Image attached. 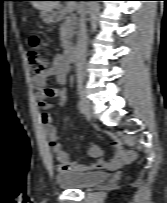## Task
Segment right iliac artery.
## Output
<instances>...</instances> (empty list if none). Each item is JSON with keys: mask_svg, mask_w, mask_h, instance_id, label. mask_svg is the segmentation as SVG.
Returning a JSON list of instances; mask_svg holds the SVG:
<instances>
[{"mask_svg": "<svg viewBox=\"0 0 167 203\" xmlns=\"http://www.w3.org/2000/svg\"><path fill=\"white\" fill-rule=\"evenodd\" d=\"M77 106H78V110L80 111V113H82V114H85V113H86V109H85V107H84L82 101H78Z\"/></svg>", "mask_w": 167, "mask_h": 203, "instance_id": "obj_1", "label": "right iliac artery"}]
</instances>
